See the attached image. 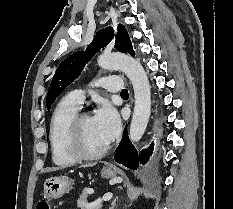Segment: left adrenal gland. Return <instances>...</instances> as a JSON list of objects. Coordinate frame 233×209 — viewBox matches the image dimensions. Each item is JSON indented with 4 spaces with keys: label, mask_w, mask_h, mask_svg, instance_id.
<instances>
[{
    "label": "left adrenal gland",
    "mask_w": 233,
    "mask_h": 209,
    "mask_svg": "<svg viewBox=\"0 0 233 209\" xmlns=\"http://www.w3.org/2000/svg\"><path fill=\"white\" fill-rule=\"evenodd\" d=\"M118 200V197H116L113 202L111 203V207L109 209H114L116 206V201Z\"/></svg>",
    "instance_id": "obj_1"
}]
</instances>
